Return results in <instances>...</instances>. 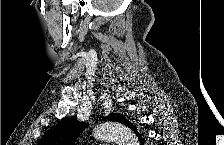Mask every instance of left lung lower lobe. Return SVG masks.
Instances as JSON below:
<instances>
[{
	"label": "left lung lower lobe",
	"mask_w": 224,
	"mask_h": 145,
	"mask_svg": "<svg viewBox=\"0 0 224 145\" xmlns=\"http://www.w3.org/2000/svg\"><path fill=\"white\" fill-rule=\"evenodd\" d=\"M130 128L137 134V136L139 137V140L141 142V144H143V142L145 141L144 138L141 137V135L137 132V129L135 128V126L133 124L130 125Z\"/></svg>",
	"instance_id": "1"
}]
</instances>
